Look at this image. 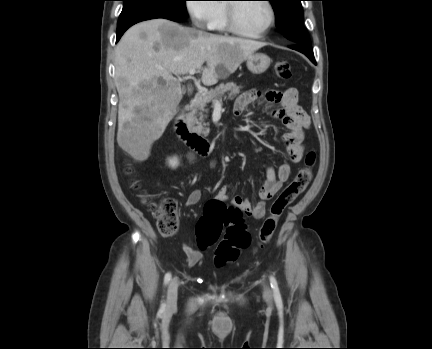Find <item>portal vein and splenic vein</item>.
I'll return each instance as SVG.
<instances>
[{"mask_svg": "<svg viewBox=\"0 0 432 349\" xmlns=\"http://www.w3.org/2000/svg\"><path fill=\"white\" fill-rule=\"evenodd\" d=\"M195 73H196V70H195V69L190 70V71H189V77H192V75H194ZM215 105L220 106V105H221V102L217 100V101L215 102Z\"/></svg>", "mask_w": 432, "mask_h": 349, "instance_id": "1", "label": "portal vein and splenic vein"}]
</instances>
